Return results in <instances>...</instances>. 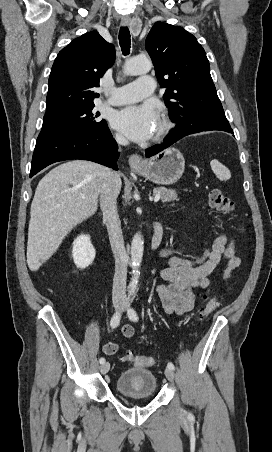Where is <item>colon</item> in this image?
Masks as SVG:
<instances>
[{
  "label": "colon",
  "mask_w": 272,
  "mask_h": 452,
  "mask_svg": "<svg viewBox=\"0 0 272 452\" xmlns=\"http://www.w3.org/2000/svg\"><path fill=\"white\" fill-rule=\"evenodd\" d=\"M208 200L211 208L223 214H231L234 210L233 201L219 189L210 190L208 193ZM203 301L204 305L199 309V316L201 320L208 318L218 305L217 299L208 295H204ZM123 360L137 367H149L156 364V360L151 356L133 353H126Z\"/></svg>",
  "instance_id": "5ec220e1"
}]
</instances>
